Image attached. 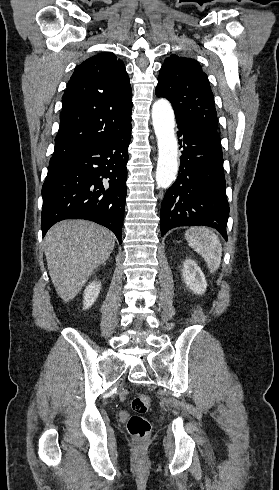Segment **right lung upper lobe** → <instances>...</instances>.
Segmentation results:
<instances>
[{
	"label": "right lung upper lobe",
	"instance_id": "right-lung-upper-lobe-1",
	"mask_svg": "<svg viewBox=\"0 0 279 490\" xmlns=\"http://www.w3.org/2000/svg\"><path fill=\"white\" fill-rule=\"evenodd\" d=\"M60 128L50 164L131 127L132 91L124 63L109 52L75 68L62 97Z\"/></svg>",
	"mask_w": 279,
	"mask_h": 490
}]
</instances>
